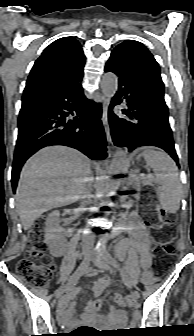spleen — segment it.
I'll use <instances>...</instances> for the list:
<instances>
[{"label": "spleen", "mask_w": 194, "mask_h": 336, "mask_svg": "<svg viewBox=\"0 0 194 336\" xmlns=\"http://www.w3.org/2000/svg\"><path fill=\"white\" fill-rule=\"evenodd\" d=\"M140 157H143L147 165L156 173L157 180L161 185L158 198L162 208L169 213H175L180 207L182 194L176 164L167 153L153 150L150 147L143 148L137 159Z\"/></svg>", "instance_id": "obj_1"}]
</instances>
